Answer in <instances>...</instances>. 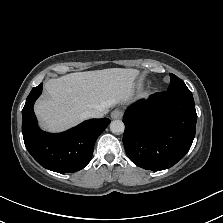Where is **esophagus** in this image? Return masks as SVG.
<instances>
[{"instance_id": "1", "label": "esophagus", "mask_w": 223, "mask_h": 223, "mask_svg": "<svg viewBox=\"0 0 223 223\" xmlns=\"http://www.w3.org/2000/svg\"><path fill=\"white\" fill-rule=\"evenodd\" d=\"M111 117L113 119H121L123 117V111L120 109H115L111 112Z\"/></svg>"}]
</instances>
